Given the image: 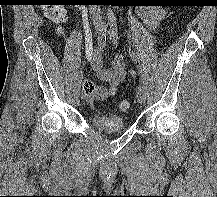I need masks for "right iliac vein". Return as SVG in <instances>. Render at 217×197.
<instances>
[{"mask_svg":"<svg viewBox=\"0 0 217 197\" xmlns=\"http://www.w3.org/2000/svg\"><path fill=\"white\" fill-rule=\"evenodd\" d=\"M79 102H80L79 95L78 94H74V97H73V103H74V105L78 106Z\"/></svg>","mask_w":217,"mask_h":197,"instance_id":"1","label":"right iliac vein"}]
</instances>
